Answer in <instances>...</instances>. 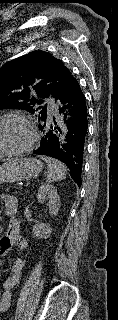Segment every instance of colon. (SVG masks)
<instances>
[{"label":"colon","mask_w":118,"mask_h":320,"mask_svg":"<svg viewBox=\"0 0 118 320\" xmlns=\"http://www.w3.org/2000/svg\"><path fill=\"white\" fill-rule=\"evenodd\" d=\"M17 245L19 247L24 246L23 239L18 235L17 228L13 226L7 235H5L0 242V255L4 254L12 246Z\"/></svg>","instance_id":"colon-1"}]
</instances>
